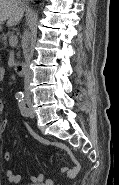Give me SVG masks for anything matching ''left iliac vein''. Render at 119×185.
Here are the masks:
<instances>
[{
  "label": "left iliac vein",
  "mask_w": 119,
  "mask_h": 185,
  "mask_svg": "<svg viewBox=\"0 0 119 185\" xmlns=\"http://www.w3.org/2000/svg\"><path fill=\"white\" fill-rule=\"evenodd\" d=\"M27 116L33 118L35 116L32 104L29 102L28 103V112H27Z\"/></svg>",
  "instance_id": "obj_1"
}]
</instances>
